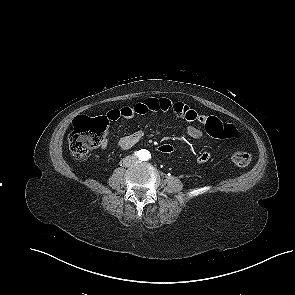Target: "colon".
I'll list each match as a JSON object with an SVG mask.
<instances>
[{"label":"colon","mask_w":295,"mask_h":295,"mask_svg":"<svg viewBox=\"0 0 295 295\" xmlns=\"http://www.w3.org/2000/svg\"><path fill=\"white\" fill-rule=\"evenodd\" d=\"M107 128V119L103 116L89 117L80 115L73 121V130L68 137L70 152L77 160L87 157L89 152L98 147L104 139ZM207 131L218 138H234L237 130L232 124H225L218 120H210L206 125ZM158 151L166 155L175 153V146L167 142L158 144ZM251 156L245 151H236L232 155V162L238 168L249 165Z\"/></svg>","instance_id":"5ec220e1"}]
</instances>
